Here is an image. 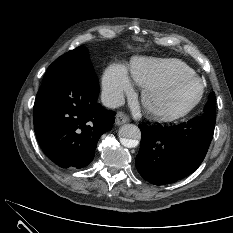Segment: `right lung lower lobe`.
Wrapping results in <instances>:
<instances>
[{
	"label": "right lung lower lobe",
	"instance_id": "98d812e1",
	"mask_svg": "<svg viewBox=\"0 0 233 233\" xmlns=\"http://www.w3.org/2000/svg\"><path fill=\"white\" fill-rule=\"evenodd\" d=\"M94 69L50 70L34 104V129L44 153L62 168H82L94 158L100 136L109 131L115 112L97 98Z\"/></svg>",
	"mask_w": 233,
	"mask_h": 233
}]
</instances>
